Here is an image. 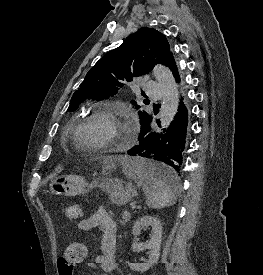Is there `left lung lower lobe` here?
I'll return each instance as SVG.
<instances>
[{
    "instance_id": "1",
    "label": "left lung lower lobe",
    "mask_w": 263,
    "mask_h": 275,
    "mask_svg": "<svg viewBox=\"0 0 263 275\" xmlns=\"http://www.w3.org/2000/svg\"><path fill=\"white\" fill-rule=\"evenodd\" d=\"M177 82L180 81L174 59L168 66ZM182 100V99H181ZM152 118L143 125L138 137V143L127 154L134 157H143L156 162L150 173L165 182H173L183 165V152L185 149L188 111L181 102L178 113L167 129L162 132H153L150 129ZM160 126L159 120H157Z\"/></svg>"
}]
</instances>
